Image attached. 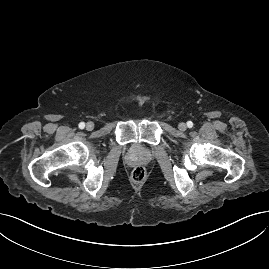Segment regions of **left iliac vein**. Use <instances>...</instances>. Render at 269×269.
I'll return each mask as SVG.
<instances>
[{"label": "left iliac vein", "mask_w": 269, "mask_h": 269, "mask_svg": "<svg viewBox=\"0 0 269 269\" xmlns=\"http://www.w3.org/2000/svg\"><path fill=\"white\" fill-rule=\"evenodd\" d=\"M178 128L180 131H185L187 129V125L184 122L179 123Z\"/></svg>", "instance_id": "1"}]
</instances>
